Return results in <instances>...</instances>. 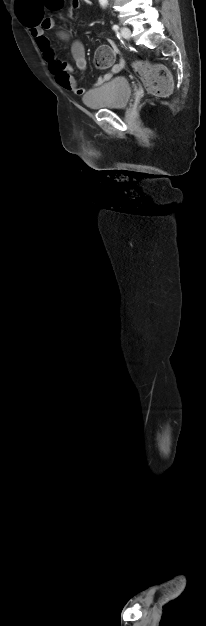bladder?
<instances>
[{
  "label": "bladder",
  "instance_id": "31cf9c89",
  "mask_svg": "<svg viewBox=\"0 0 206 626\" xmlns=\"http://www.w3.org/2000/svg\"><path fill=\"white\" fill-rule=\"evenodd\" d=\"M132 95L130 82L124 77H113L101 86L88 91L82 98L84 105L93 110L123 109Z\"/></svg>",
  "mask_w": 206,
  "mask_h": 626
}]
</instances>
